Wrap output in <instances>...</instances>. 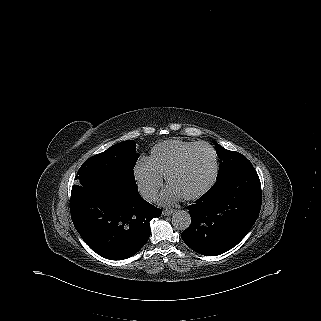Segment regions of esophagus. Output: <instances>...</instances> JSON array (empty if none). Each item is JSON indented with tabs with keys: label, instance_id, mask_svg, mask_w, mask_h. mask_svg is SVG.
Instances as JSON below:
<instances>
[{
	"label": "esophagus",
	"instance_id": "34e87169",
	"mask_svg": "<svg viewBox=\"0 0 321 321\" xmlns=\"http://www.w3.org/2000/svg\"><path fill=\"white\" fill-rule=\"evenodd\" d=\"M175 213V210H172V209H165L164 211H163V215L164 216H170V215H172V214H174Z\"/></svg>",
	"mask_w": 321,
	"mask_h": 321
}]
</instances>
